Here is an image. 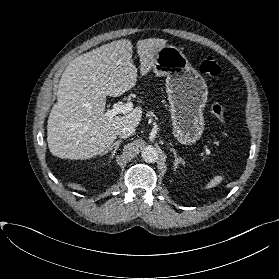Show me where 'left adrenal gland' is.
I'll return each instance as SVG.
<instances>
[{"instance_id":"1","label":"left adrenal gland","mask_w":279,"mask_h":279,"mask_svg":"<svg viewBox=\"0 0 279 279\" xmlns=\"http://www.w3.org/2000/svg\"><path fill=\"white\" fill-rule=\"evenodd\" d=\"M170 150L173 152V155H174V170H176L177 165L180 164V163L183 164L184 160L181 157L177 156V152L174 148H170Z\"/></svg>"}]
</instances>
